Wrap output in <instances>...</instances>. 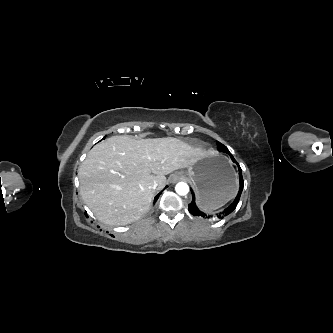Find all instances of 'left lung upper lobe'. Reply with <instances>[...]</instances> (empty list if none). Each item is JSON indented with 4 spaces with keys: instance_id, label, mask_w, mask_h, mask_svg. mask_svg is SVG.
Masks as SVG:
<instances>
[{
    "instance_id": "1",
    "label": "left lung upper lobe",
    "mask_w": 333,
    "mask_h": 333,
    "mask_svg": "<svg viewBox=\"0 0 333 333\" xmlns=\"http://www.w3.org/2000/svg\"><path fill=\"white\" fill-rule=\"evenodd\" d=\"M217 144H218V150H219L220 152L227 153V154L230 155L231 159H234V157H233L232 154L229 152V150L227 149L226 146H224V145L221 144L220 142H217Z\"/></svg>"
}]
</instances>
